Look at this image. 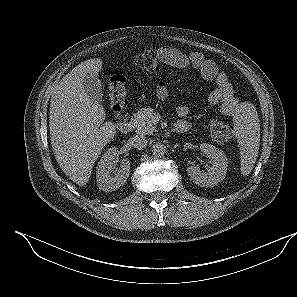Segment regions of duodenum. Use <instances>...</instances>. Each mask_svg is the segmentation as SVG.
Masks as SVG:
<instances>
[{
	"label": "duodenum",
	"instance_id": "410a0bca",
	"mask_svg": "<svg viewBox=\"0 0 297 297\" xmlns=\"http://www.w3.org/2000/svg\"><path fill=\"white\" fill-rule=\"evenodd\" d=\"M132 128V123L128 117H124L118 124L117 129L120 133L126 134ZM189 129V124L185 122H177L174 126V131L177 133H185Z\"/></svg>",
	"mask_w": 297,
	"mask_h": 297
}]
</instances>
